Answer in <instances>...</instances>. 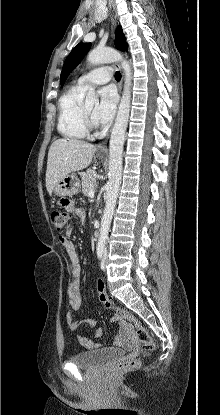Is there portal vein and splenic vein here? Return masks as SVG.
I'll return each mask as SVG.
<instances>
[{"label": "portal vein and splenic vein", "instance_id": "obj_1", "mask_svg": "<svg viewBox=\"0 0 220 415\" xmlns=\"http://www.w3.org/2000/svg\"><path fill=\"white\" fill-rule=\"evenodd\" d=\"M88 195H89L90 197H94V189L90 190Z\"/></svg>", "mask_w": 220, "mask_h": 415}]
</instances>
